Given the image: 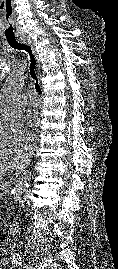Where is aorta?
Listing matches in <instances>:
<instances>
[{
	"label": "aorta",
	"instance_id": "762f6f07",
	"mask_svg": "<svg viewBox=\"0 0 118 269\" xmlns=\"http://www.w3.org/2000/svg\"><path fill=\"white\" fill-rule=\"evenodd\" d=\"M24 76L20 73L14 74L6 83L0 95V110L11 111L18 100L19 94L23 87ZM29 184L26 180H21L12 190L15 200L21 201L26 199Z\"/></svg>",
	"mask_w": 118,
	"mask_h": 269
}]
</instances>
